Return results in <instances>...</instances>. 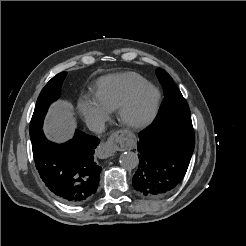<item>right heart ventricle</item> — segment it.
I'll return each instance as SVG.
<instances>
[{"label": "right heart ventricle", "mask_w": 246, "mask_h": 246, "mask_svg": "<svg viewBox=\"0 0 246 246\" xmlns=\"http://www.w3.org/2000/svg\"><path fill=\"white\" fill-rule=\"evenodd\" d=\"M147 83L134 72L107 75L97 81L94 97L105 109L113 111L131 92Z\"/></svg>", "instance_id": "e07e8e85"}]
</instances>
